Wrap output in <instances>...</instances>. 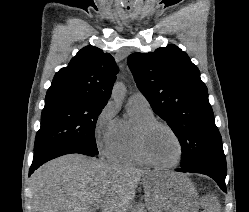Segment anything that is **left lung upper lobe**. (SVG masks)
I'll list each match as a JSON object with an SVG mask.
<instances>
[{"label": "left lung upper lobe", "instance_id": "1", "mask_svg": "<svg viewBox=\"0 0 249 212\" xmlns=\"http://www.w3.org/2000/svg\"><path fill=\"white\" fill-rule=\"evenodd\" d=\"M127 63L138 89L178 138L181 167L223 152L207 87L185 52L169 44L151 53H133Z\"/></svg>", "mask_w": 249, "mask_h": 212}]
</instances>
